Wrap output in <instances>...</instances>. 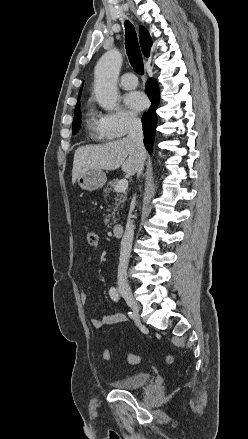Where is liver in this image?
<instances>
[{
    "instance_id": "1",
    "label": "liver",
    "mask_w": 248,
    "mask_h": 439,
    "mask_svg": "<svg viewBox=\"0 0 248 439\" xmlns=\"http://www.w3.org/2000/svg\"><path fill=\"white\" fill-rule=\"evenodd\" d=\"M140 164V155L132 141L127 137L102 145H85L75 151L72 183L78 177L90 170H115L134 175Z\"/></svg>"
}]
</instances>
